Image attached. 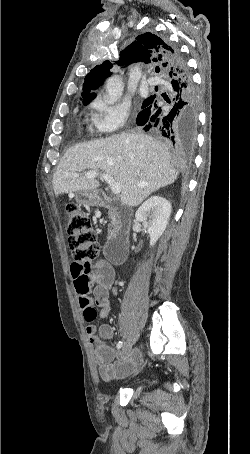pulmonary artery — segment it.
I'll return each mask as SVG.
<instances>
[{
  "label": "pulmonary artery",
  "instance_id": "e3ab8cb5",
  "mask_svg": "<svg viewBox=\"0 0 250 454\" xmlns=\"http://www.w3.org/2000/svg\"><path fill=\"white\" fill-rule=\"evenodd\" d=\"M147 83L149 85H156V84H159L160 83V79L156 78V77H150L148 80H147Z\"/></svg>",
  "mask_w": 250,
  "mask_h": 454
}]
</instances>
